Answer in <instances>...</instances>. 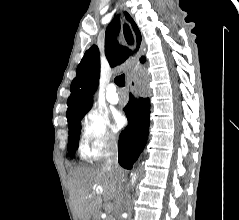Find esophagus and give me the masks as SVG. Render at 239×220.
<instances>
[{"instance_id":"esophagus-1","label":"esophagus","mask_w":239,"mask_h":220,"mask_svg":"<svg viewBox=\"0 0 239 220\" xmlns=\"http://www.w3.org/2000/svg\"><path fill=\"white\" fill-rule=\"evenodd\" d=\"M122 29H123V35H124V41L125 43H128V47H131L133 50L134 47L136 46V37L131 36L132 34V27L127 26V24H122ZM136 66V61H129L128 67H126V72L129 74V87H131V92H140V83L138 79V72L135 69ZM134 101L138 102L139 101V94L135 93L134 94Z\"/></svg>"}]
</instances>
